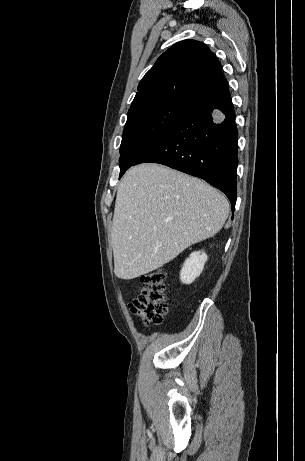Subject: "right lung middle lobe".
Here are the masks:
<instances>
[{
  "label": "right lung middle lobe",
  "mask_w": 305,
  "mask_h": 461,
  "mask_svg": "<svg viewBox=\"0 0 305 461\" xmlns=\"http://www.w3.org/2000/svg\"><path fill=\"white\" fill-rule=\"evenodd\" d=\"M189 107L160 103L129 112L120 146V171L162 139Z\"/></svg>",
  "instance_id": "1"
}]
</instances>
